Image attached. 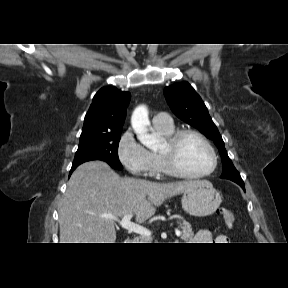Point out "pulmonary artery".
Masks as SVG:
<instances>
[{
    "mask_svg": "<svg viewBox=\"0 0 288 288\" xmlns=\"http://www.w3.org/2000/svg\"><path fill=\"white\" fill-rule=\"evenodd\" d=\"M153 125L160 128H169L173 125V122L168 113L161 112L154 116Z\"/></svg>",
    "mask_w": 288,
    "mask_h": 288,
    "instance_id": "obj_1",
    "label": "pulmonary artery"
}]
</instances>
